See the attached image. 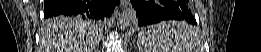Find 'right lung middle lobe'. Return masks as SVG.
Instances as JSON below:
<instances>
[{
    "label": "right lung middle lobe",
    "mask_w": 261,
    "mask_h": 52,
    "mask_svg": "<svg viewBox=\"0 0 261 52\" xmlns=\"http://www.w3.org/2000/svg\"><path fill=\"white\" fill-rule=\"evenodd\" d=\"M59 21L63 22H71V21H79V22H87L90 27L93 29H98L101 25V22L98 20L90 19L86 16L76 15V16H59ZM85 20V21H84Z\"/></svg>",
    "instance_id": "dd1d6c3e"
}]
</instances>
